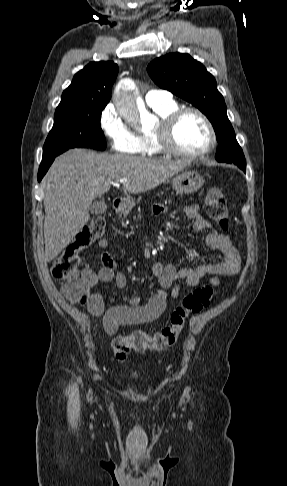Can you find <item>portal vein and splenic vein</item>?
<instances>
[{
  "label": "portal vein and splenic vein",
  "instance_id": "1",
  "mask_svg": "<svg viewBox=\"0 0 287 486\" xmlns=\"http://www.w3.org/2000/svg\"><path fill=\"white\" fill-rule=\"evenodd\" d=\"M124 182V179H119L118 181L114 182L115 184H118V183H123Z\"/></svg>",
  "mask_w": 287,
  "mask_h": 486
}]
</instances>
